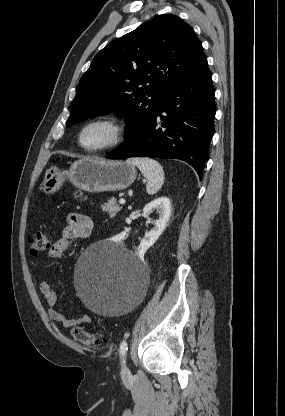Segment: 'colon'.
I'll return each instance as SVG.
<instances>
[{
  "label": "colon",
  "mask_w": 285,
  "mask_h": 416,
  "mask_svg": "<svg viewBox=\"0 0 285 416\" xmlns=\"http://www.w3.org/2000/svg\"><path fill=\"white\" fill-rule=\"evenodd\" d=\"M29 246L31 254L38 255L51 246L50 237L41 231L33 233L29 237ZM71 334L77 342L88 347H98L103 342L101 333L87 332L79 326L72 327Z\"/></svg>",
  "instance_id": "5ec220e1"
}]
</instances>
